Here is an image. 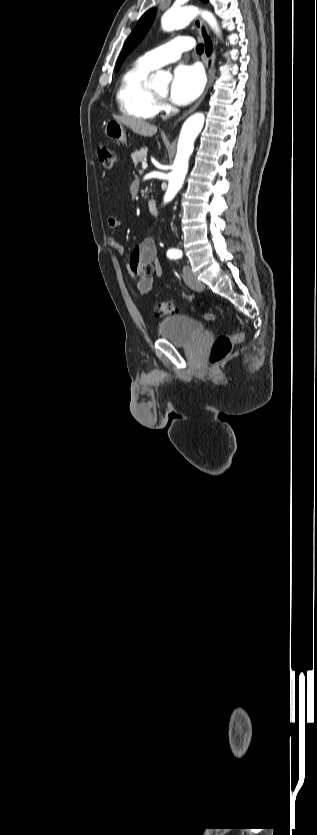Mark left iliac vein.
I'll return each instance as SVG.
<instances>
[{"mask_svg": "<svg viewBox=\"0 0 317 835\" xmlns=\"http://www.w3.org/2000/svg\"><path fill=\"white\" fill-rule=\"evenodd\" d=\"M183 278H184L185 283L191 289L196 290V291L203 290V288H204L203 283L196 279V277L191 272V269H190L189 266H184V268H183Z\"/></svg>", "mask_w": 317, "mask_h": 835, "instance_id": "obj_1", "label": "left iliac vein"}]
</instances>
